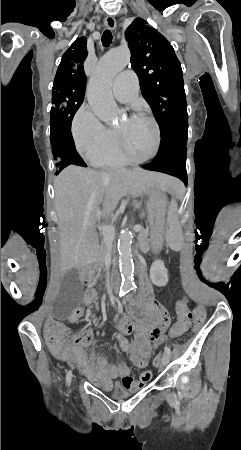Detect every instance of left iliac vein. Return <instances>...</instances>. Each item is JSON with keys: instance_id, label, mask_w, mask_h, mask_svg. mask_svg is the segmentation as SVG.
Instances as JSON below:
<instances>
[{"instance_id": "4c4485c4", "label": "left iliac vein", "mask_w": 241, "mask_h": 450, "mask_svg": "<svg viewBox=\"0 0 241 450\" xmlns=\"http://www.w3.org/2000/svg\"><path fill=\"white\" fill-rule=\"evenodd\" d=\"M170 357L167 353H165L162 357V366L165 367L169 364Z\"/></svg>"}]
</instances>
